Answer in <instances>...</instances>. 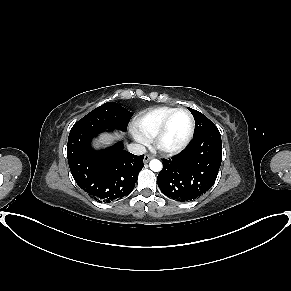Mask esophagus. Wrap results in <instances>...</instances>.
Masks as SVG:
<instances>
[{
  "label": "esophagus",
  "instance_id": "34e87169",
  "mask_svg": "<svg viewBox=\"0 0 291 291\" xmlns=\"http://www.w3.org/2000/svg\"><path fill=\"white\" fill-rule=\"evenodd\" d=\"M152 159V156L151 155H149V154H146L145 156H144V162L145 163H147L149 160H151Z\"/></svg>",
  "mask_w": 291,
  "mask_h": 291
}]
</instances>
